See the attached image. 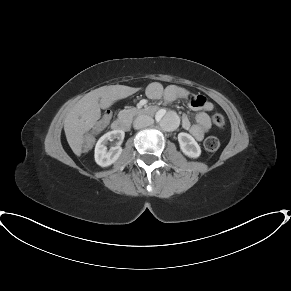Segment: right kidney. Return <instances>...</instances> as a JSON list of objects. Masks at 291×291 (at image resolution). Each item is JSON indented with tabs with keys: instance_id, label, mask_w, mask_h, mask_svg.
<instances>
[{
	"instance_id": "right-kidney-1",
	"label": "right kidney",
	"mask_w": 291,
	"mask_h": 291,
	"mask_svg": "<svg viewBox=\"0 0 291 291\" xmlns=\"http://www.w3.org/2000/svg\"><path fill=\"white\" fill-rule=\"evenodd\" d=\"M125 133L122 130H113L104 134L95 146V161L101 167H107L113 164L121 155L122 147L120 146ZM117 139V143L115 146L111 147L109 150L107 149V143L109 141H113Z\"/></svg>"
}]
</instances>
